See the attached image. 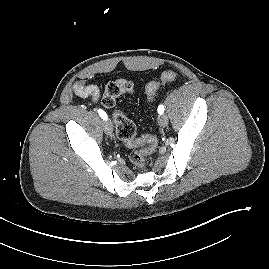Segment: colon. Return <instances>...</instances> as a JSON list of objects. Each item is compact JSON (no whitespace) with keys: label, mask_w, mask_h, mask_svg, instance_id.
Returning <instances> with one entry per match:
<instances>
[{"label":"colon","mask_w":269,"mask_h":269,"mask_svg":"<svg viewBox=\"0 0 269 269\" xmlns=\"http://www.w3.org/2000/svg\"><path fill=\"white\" fill-rule=\"evenodd\" d=\"M177 73L173 70L164 71L159 80L152 81L147 84L145 92L148 99H152L162 84L174 81ZM133 86L129 81L117 80L109 82L106 85L104 95L102 97V105L106 108L114 107L117 99L125 93H131ZM118 137L133 150L129 154V159L133 165L139 169H143L147 165V156L156 147L157 140L154 136L148 135L142 138H136V128L134 123L121 113L113 116ZM144 146L143 148H139Z\"/></svg>","instance_id":"5ec220e1"}]
</instances>
